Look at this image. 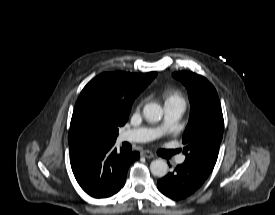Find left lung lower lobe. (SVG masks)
Wrapping results in <instances>:
<instances>
[{
	"label": "left lung lower lobe",
	"instance_id": "1",
	"mask_svg": "<svg viewBox=\"0 0 275 215\" xmlns=\"http://www.w3.org/2000/svg\"><path fill=\"white\" fill-rule=\"evenodd\" d=\"M208 176L207 173L184 162L178 165L172 173L158 180L157 187L165 196L173 200H181L198 190Z\"/></svg>",
	"mask_w": 275,
	"mask_h": 215
}]
</instances>
